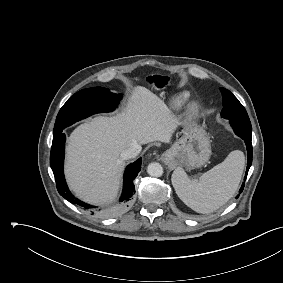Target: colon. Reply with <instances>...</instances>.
Returning a JSON list of instances; mask_svg holds the SVG:
<instances>
[{
  "label": "colon",
  "instance_id": "5ec220e1",
  "mask_svg": "<svg viewBox=\"0 0 283 283\" xmlns=\"http://www.w3.org/2000/svg\"><path fill=\"white\" fill-rule=\"evenodd\" d=\"M151 83L154 84L157 88H162L166 85V80L162 77H155L151 79Z\"/></svg>",
  "mask_w": 283,
  "mask_h": 283
}]
</instances>
